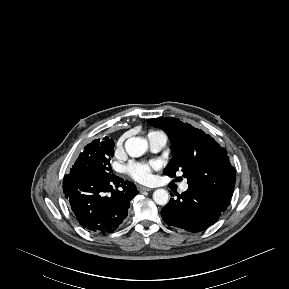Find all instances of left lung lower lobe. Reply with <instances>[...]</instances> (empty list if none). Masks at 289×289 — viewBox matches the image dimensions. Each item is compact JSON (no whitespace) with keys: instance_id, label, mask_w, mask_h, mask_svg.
<instances>
[{"instance_id":"left-lung-lower-lobe-1","label":"left lung lower lobe","mask_w":289,"mask_h":289,"mask_svg":"<svg viewBox=\"0 0 289 289\" xmlns=\"http://www.w3.org/2000/svg\"><path fill=\"white\" fill-rule=\"evenodd\" d=\"M161 210L163 220L169 225L190 232H200L213 225L224 212L230 200L197 189L188 188Z\"/></svg>"}]
</instances>
